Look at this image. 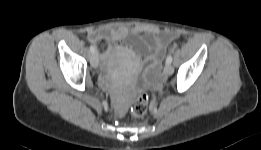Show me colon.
<instances>
[{
    "label": "colon",
    "instance_id": "colon-1",
    "mask_svg": "<svg viewBox=\"0 0 261 150\" xmlns=\"http://www.w3.org/2000/svg\"><path fill=\"white\" fill-rule=\"evenodd\" d=\"M148 94H139L131 105V113L135 117H142L146 114L148 108Z\"/></svg>",
    "mask_w": 261,
    "mask_h": 150
}]
</instances>
